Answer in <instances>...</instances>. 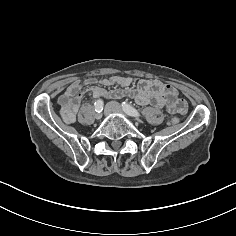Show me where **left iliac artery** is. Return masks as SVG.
I'll use <instances>...</instances> for the list:
<instances>
[{"mask_svg":"<svg viewBox=\"0 0 236 236\" xmlns=\"http://www.w3.org/2000/svg\"><path fill=\"white\" fill-rule=\"evenodd\" d=\"M123 110L126 114L132 117H140V113L130 104L123 102L122 103Z\"/></svg>","mask_w":236,"mask_h":236,"instance_id":"obj_1","label":"left iliac artery"}]
</instances>
